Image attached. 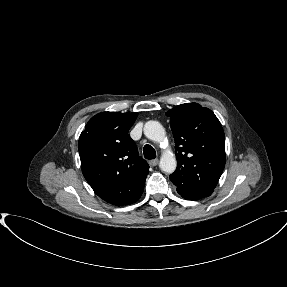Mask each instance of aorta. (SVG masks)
Listing matches in <instances>:
<instances>
[{
    "instance_id": "aorta-1",
    "label": "aorta",
    "mask_w": 287,
    "mask_h": 287,
    "mask_svg": "<svg viewBox=\"0 0 287 287\" xmlns=\"http://www.w3.org/2000/svg\"><path fill=\"white\" fill-rule=\"evenodd\" d=\"M145 136L154 141L162 142L165 139V129L158 121H147L144 125ZM177 161L171 152H165L162 154L159 167L165 173H173L176 169Z\"/></svg>"
}]
</instances>
